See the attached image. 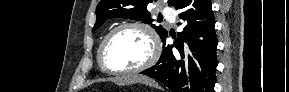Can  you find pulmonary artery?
<instances>
[{
	"instance_id": "obj_1",
	"label": "pulmonary artery",
	"mask_w": 289,
	"mask_h": 92,
	"mask_svg": "<svg viewBox=\"0 0 289 92\" xmlns=\"http://www.w3.org/2000/svg\"><path fill=\"white\" fill-rule=\"evenodd\" d=\"M164 15L170 20V21H174L175 19V14H174V11L170 8H165L164 9Z\"/></svg>"
}]
</instances>
